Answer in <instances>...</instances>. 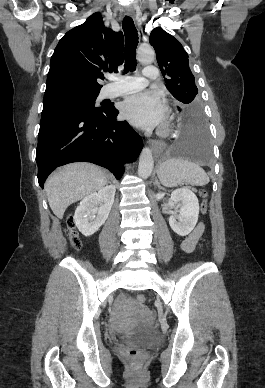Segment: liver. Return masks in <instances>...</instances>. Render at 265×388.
I'll return each instance as SVG.
<instances>
[{
	"instance_id": "6515ba94",
	"label": "liver",
	"mask_w": 265,
	"mask_h": 388,
	"mask_svg": "<svg viewBox=\"0 0 265 388\" xmlns=\"http://www.w3.org/2000/svg\"><path fill=\"white\" fill-rule=\"evenodd\" d=\"M107 184L108 178L98 166L68 164L48 178L45 182V190L53 214L62 220L70 204L102 190Z\"/></svg>"
}]
</instances>
